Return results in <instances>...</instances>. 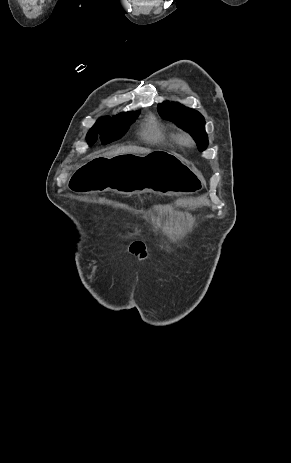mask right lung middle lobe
<instances>
[{
  "mask_svg": "<svg viewBox=\"0 0 291 463\" xmlns=\"http://www.w3.org/2000/svg\"><path fill=\"white\" fill-rule=\"evenodd\" d=\"M139 112H125L113 118L105 117L97 120L95 125L87 133L89 146L93 145L98 135L102 144H108L121 138L128 130L129 125L134 122Z\"/></svg>",
  "mask_w": 291,
  "mask_h": 463,
  "instance_id": "1",
  "label": "right lung middle lobe"
}]
</instances>
